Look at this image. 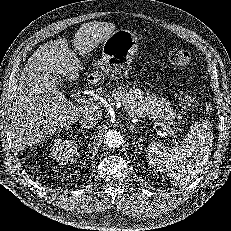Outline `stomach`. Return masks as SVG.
<instances>
[{
	"label": "stomach",
	"instance_id": "0dacf381",
	"mask_svg": "<svg viewBox=\"0 0 231 231\" xmlns=\"http://www.w3.org/2000/svg\"><path fill=\"white\" fill-rule=\"evenodd\" d=\"M139 42L129 30H116L102 44V58L95 64L91 74L99 78V71L111 79H121L128 75L133 58L137 55Z\"/></svg>",
	"mask_w": 231,
	"mask_h": 231
}]
</instances>
